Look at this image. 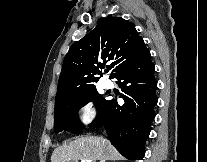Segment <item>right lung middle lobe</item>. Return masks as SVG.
Returning <instances> with one entry per match:
<instances>
[{"label":"right lung middle lobe","mask_w":207,"mask_h":162,"mask_svg":"<svg viewBox=\"0 0 207 162\" xmlns=\"http://www.w3.org/2000/svg\"><path fill=\"white\" fill-rule=\"evenodd\" d=\"M93 100L99 114L108 102V99L102 97L96 89L56 99L54 119L55 133L62 130L71 131L74 134L81 132L83 126L78 118V110L86 103Z\"/></svg>","instance_id":"dd1d6c3e"}]
</instances>
